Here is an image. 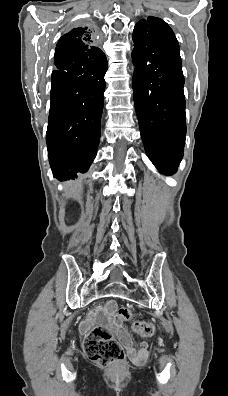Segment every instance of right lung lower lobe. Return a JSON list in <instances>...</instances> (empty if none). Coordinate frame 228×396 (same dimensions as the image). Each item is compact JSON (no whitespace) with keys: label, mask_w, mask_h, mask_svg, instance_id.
<instances>
[{"label":"right lung lower lobe","mask_w":228,"mask_h":396,"mask_svg":"<svg viewBox=\"0 0 228 396\" xmlns=\"http://www.w3.org/2000/svg\"><path fill=\"white\" fill-rule=\"evenodd\" d=\"M107 63L94 46L55 52L46 142L53 176L59 180L87 172L96 156Z\"/></svg>","instance_id":"1"}]
</instances>
